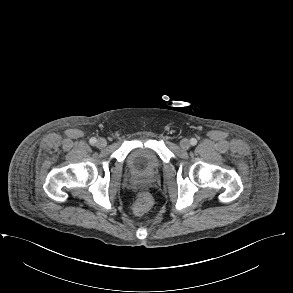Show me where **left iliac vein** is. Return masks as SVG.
Segmentation results:
<instances>
[{
  "label": "left iliac vein",
  "mask_w": 293,
  "mask_h": 293,
  "mask_svg": "<svg viewBox=\"0 0 293 293\" xmlns=\"http://www.w3.org/2000/svg\"><path fill=\"white\" fill-rule=\"evenodd\" d=\"M180 147L183 149V150H187L189 149L190 147V141L186 138L182 139L180 141Z\"/></svg>",
  "instance_id": "obj_1"
}]
</instances>
